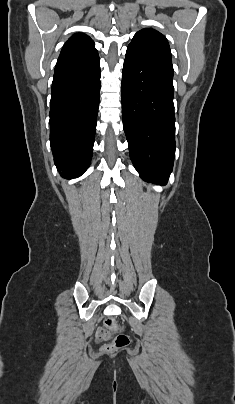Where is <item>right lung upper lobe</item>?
<instances>
[{
    "instance_id": "cb5924a9",
    "label": "right lung upper lobe",
    "mask_w": 235,
    "mask_h": 404,
    "mask_svg": "<svg viewBox=\"0 0 235 404\" xmlns=\"http://www.w3.org/2000/svg\"><path fill=\"white\" fill-rule=\"evenodd\" d=\"M98 57L95 44L85 34H75L64 44L57 64L83 62Z\"/></svg>"
}]
</instances>
